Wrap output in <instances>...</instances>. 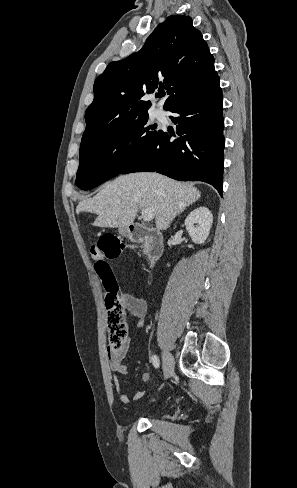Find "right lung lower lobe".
I'll return each instance as SVG.
<instances>
[{
    "instance_id": "obj_1",
    "label": "right lung lower lobe",
    "mask_w": 297,
    "mask_h": 488,
    "mask_svg": "<svg viewBox=\"0 0 297 488\" xmlns=\"http://www.w3.org/2000/svg\"><path fill=\"white\" fill-rule=\"evenodd\" d=\"M219 77L188 94L169 111L176 131H160L122 173L156 171L181 181H203L222 196L224 120ZM175 137V139H173Z\"/></svg>"
}]
</instances>
